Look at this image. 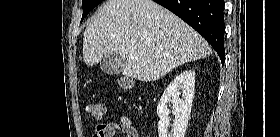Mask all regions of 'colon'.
<instances>
[{"label":"colon","instance_id":"1","mask_svg":"<svg viewBox=\"0 0 280 137\" xmlns=\"http://www.w3.org/2000/svg\"><path fill=\"white\" fill-rule=\"evenodd\" d=\"M86 112L95 120H101L105 113V106L102 102L92 101L86 104Z\"/></svg>","mask_w":280,"mask_h":137}]
</instances>
